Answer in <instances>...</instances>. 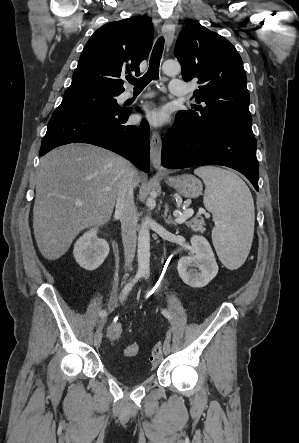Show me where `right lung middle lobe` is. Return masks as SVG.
Here are the masks:
<instances>
[{
    "label": "right lung middle lobe",
    "mask_w": 299,
    "mask_h": 443,
    "mask_svg": "<svg viewBox=\"0 0 299 443\" xmlns=\"http://www.w3.org/2000/svg\"><path fill=\"white\" fill-rule=\"evenodd\" d=\"M114 93L102 89L87 87H69L63 97L61 105L90 107L103 111H116L121 107L116 103Z\"/></svg>",
    "instance_id": "1"
}]
</instances>
